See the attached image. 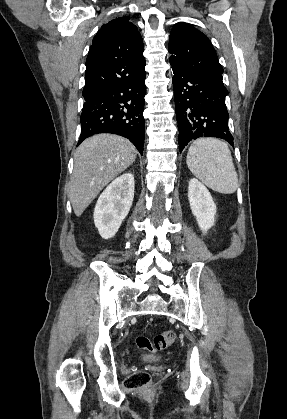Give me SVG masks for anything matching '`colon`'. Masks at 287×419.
<instances>
[{"label":"colon","mask_w":287,"mask_h":419,"mask_svg":"<svg viewBox=\"0 0 287 419\" xmlns=\"http://www.w3.org/2000/svg\"><path fill=\"white\" fill-rule=\"evenodd\" d=\"M176 340L174 331H165L156 335L153 339L144 335H139L136 338V345L142 351L156 352L164 350L172 345ZM150 382V376L144 371H137L125 380V387L127 389L143 388Z\"/></svg>","instance_id":"5ec220e1"}]
</instances>
